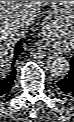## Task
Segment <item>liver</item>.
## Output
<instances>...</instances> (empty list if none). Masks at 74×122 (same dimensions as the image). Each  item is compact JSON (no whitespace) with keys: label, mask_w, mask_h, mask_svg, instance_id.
<instances>
[{"label":"liver","mask_w":74,"mask_h":122,"mask_svg":"<svg viewBox=\"0 0 74 122\" xmlns=\"http://www.w3.org/2000/svg\"><path fill=\"white\" fill-rule=\"evenodd\" d=\"M59 1H0V73L9 68L16 43L29 28L21 25L27 19L31 24L38 17L41 7L51 4L57 10Z\"/></svg>","instance_id":"1"}]
</instances>
